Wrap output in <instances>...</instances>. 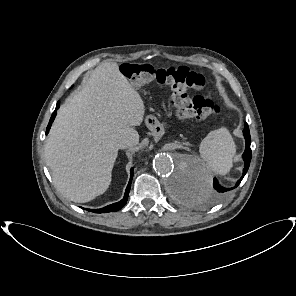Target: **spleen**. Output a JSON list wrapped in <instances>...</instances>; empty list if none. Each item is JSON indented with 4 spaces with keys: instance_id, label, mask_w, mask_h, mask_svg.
<instances>
[{
    "instance_id": "3e777b00",
    "label": "spleen",
    "mask_w": 296,
    "mask_h": 296,
    "mask_svg": "<svg viewBox=\"0 0 296 296\" xmlns=\"http://www.w3.org/2000/svg\"><path fill=\"white\" fill-rule=\"evenodd\" d=\"M201 158L220 175L227 174L233 166L235 143L229 131L221 127L211 131L200 144ZM202 195L201 193H197Z\"/></svg>"
}]
</instances>
